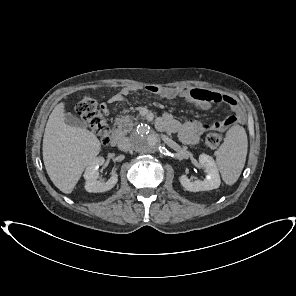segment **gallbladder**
<instances>
[{
  "label": "gallbladder",
  "instance_id": "gallbladder-1",
  "mask_svg": "<svg viewBox=\"0 0 296 296\" xmlns=\"http://www.w3.org/2000/svg\"><path fill=\"white\" fill-rule=\"evenodd\" d=\"M65 122L66 124L73 126V127H79L84 128L86 127V122L80 120L78 117L71 113L65 114Z\"/></svg>",
  "mask_w": 296,
  "mask_h": 296
}]
</instances>
